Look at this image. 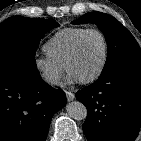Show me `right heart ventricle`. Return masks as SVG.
Here are the masks:
<instances>
[{
  "label": "right heart ventricle",
  "mask_w": 141,
  "mask_h": 141,
  "mask_svg": "<svg viewBox=\"0 0 141 141\" xmlns=\"http://www.w3.org/2000/svg\"><path fill=\"white\" fill-rule=\"evenodd\" d=\"M86 29L85 27H68L61 29L44 44L43 49L55 62L65 66L66 59L74 43Z\"/></svg>",
  "instance_id": "obj_1"
}]
</instances>
